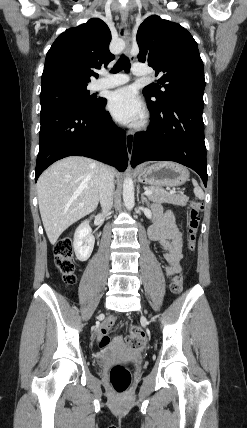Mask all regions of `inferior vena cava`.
<instances>
[{
	"label": "inferior vena cava",
	"instance_id": "obj_1",
	"mask_svg": "<svg viewBox=\"0 0 247 428\" xmlns=\"http://www.w3.org/2000/svg\"><path fill=\"white\" fill-rule=\"evenodd\" d=\"M114 175L112 168L102 164L100 171L99 198L104 214L109 213L113 205Z\"/></svg>",
	"mask_w": 247,
	"mask_h": 428
}]
</instances>
